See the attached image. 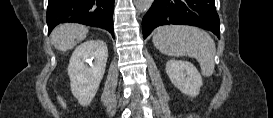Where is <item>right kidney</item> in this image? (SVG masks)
<instances>
[{"mask_svg": "<svg viewBox=\"0 0 273 118\" xmlns=\"http://www.w3.org/2000/svg\"><path fill=\"white\" fill-rule=\"evenodd\" d=\"M107 58V45L101 40L86 41L74 50L69 61L68 75L72 94L81 105H89L96 95Z\"/></svg>", "mask_w": 273, "mask_h": 118, "instance_id": "right-kidney-1", "label": "right kidney"}]
</instances>
